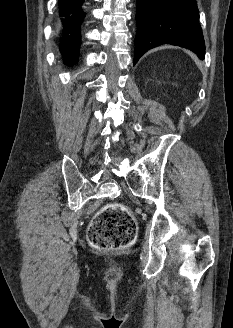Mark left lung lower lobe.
Here are the masks:
<instances>
[{
	"instance_id": "obj_1",
	"label": "left lung lower lobe",
	"mask_w": 233,
	"mask_h": 328,
	"mask_svg": "<svg viewBox=\"0 0 233 328\" xmlns=\"http://www.w3.org/2000/svg\"><path fill=\"white\" fill-rule=\"evenodd\" d=\"M136 22L133 65L149 49L166 43L191 49L204 58L196 0H137Z\"/></svg>"
}]
</instances>
